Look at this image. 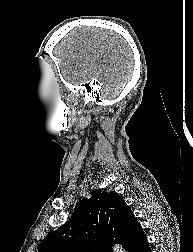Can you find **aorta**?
<instances>
[{
    "mask_svg": "<svg viewBox=\"0 0 193 252\" xmlns=\"http://www.w3.org/2000/svg\"><path fill=\"white\" fill-rule=\"evenodd\" d=\"M114 251H115V252H124V250L122 249V247L119 246V245H115V246H114Z\"/></svg>",
    "mask_w": 193,
    "mask_h": 252,
    "instance_id": "1",
    "label": "aorta"
}]
</instances>
